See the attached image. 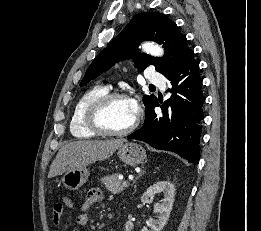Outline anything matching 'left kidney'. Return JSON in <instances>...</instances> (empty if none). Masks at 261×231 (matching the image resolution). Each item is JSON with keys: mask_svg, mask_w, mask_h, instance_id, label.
<instances>
[{"mask_svg": "<svg viewBox=\"0 0 261 231\" xmlns=\"http://www.w3.org/2000/svg\"><path fill=\"white\" fill-rule=\"evenodd\" d=\"M157 193H163L164 198L157 204H154V212L158 213V219L150 218L147 221V227H143L141 231H161L168 221L170 212L172 210L175 187L169 181H159L150 186L142 195L141 201L143 203H152L153 196ZM134 224L131 221L126 222L125 231H132Z\"/></svg>", "mask_w": 261, "mask_h": 231, "instance_id": "5707ae66", "label": "left kidney"}]
</instances>
